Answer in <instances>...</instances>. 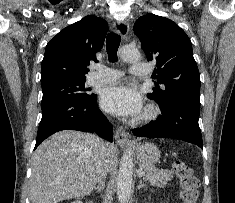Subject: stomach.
Returning a JSON list of instances; mask_svg holds the SVG:
<instances>
[{
  "instance_id": "stomach-1",
  "label": "stomach",
  "mask_w": 235,
  "mask_h": 203,
  "mask_svg": "<svg viewBox=\"0 0 235 203\" xmlns=\"http://www.w3.org/2000/svg\"><path fill=\"white\" fill-rule=\"evenodd\" d=\"M137 157L141 164L153 165L160 160V151L156 145L152 143H142L135 147Z\"/></svg>"
}]
</instances>
